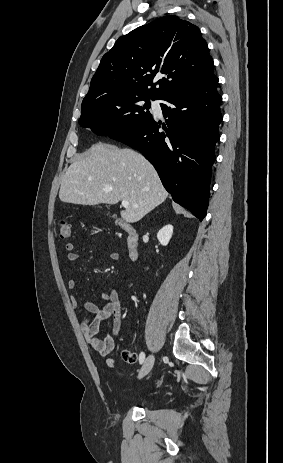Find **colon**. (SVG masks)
<instances>
[{
    "label": "colon",
    "instance_id": "colon-1",
    "mask_svg": "<svg viewBox=\"0 0 283 463\" xmlns=\"http://www.w3.org/2000/svg\"><path fill=\"white\" fill-rule=\"evenodd\" d=\"M58 234L62 239L70 238L72 235L71 225L68 220L61 219L58 223ZM123 358L127 363H134L137 356L133 352L126 351L123 353Z\"/></svg>",
    "mask_w": 283,
    "mask_h": 463
}]
</instances>
